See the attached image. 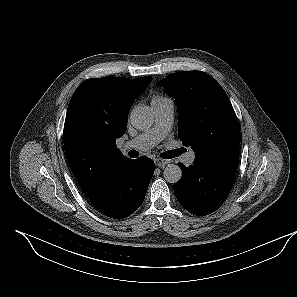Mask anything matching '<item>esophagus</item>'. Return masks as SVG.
<instances>
[{
    "label": "esophagus",
    "mask_w": 297,
    "mask_h": 297,
    "mask_svg": "<svg viewBox=\"0 0 297 297\" xmlns=\"http://www.w3.org/2000/svg\"><path fill=\"white\" fill-rule=\"evenodd\" d=\"M154 162H155V165L160 167V168H164L167 164L170 163L169 160H165V159H161V158H156L154 160Z\"/></svg>",
    "instance_id": "1"
}]
</instances>
